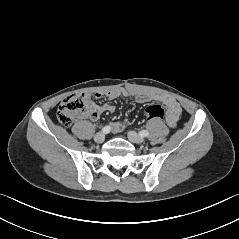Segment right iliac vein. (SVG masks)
Instances as JSON below:
<instances>
[{"mask_svg": "<svg viewBox=\"0 0 239 239\" xmlns=\"http://www.w3.org/2000/svg\"><path fill=\"white\" fill-rule=\"evenodd\" d=\"M105 140V134L103 132H99L94 136V141L96 143H103Z\"/></svg>", "mask_w": 239, "mask_h": 239, "instance_id": "right-iliac-vein-1", "label": "right iliac vein"}]
</instances>
